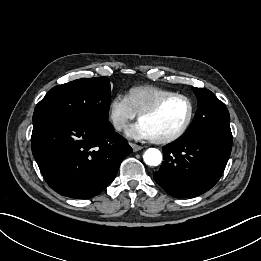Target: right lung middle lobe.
<instances>
[{
  "label": "right lung middle lobe",
  "instance_id": "obj_1",
  "mask_svg": "<svg viewBox=\"0 0 261 261\" xmlns=\"http://www.w3.org/2000/svg\"><path fill=\"white\" fill-rule=\"evenodd\" d=\"M110 102L108 78L78 79L52 88L36 105L34 112L82 117L101 128L114 130L108 121Z\"/></svg>",
  "mask_w": 261,
  "mask_h": 261
}]
</instances>
